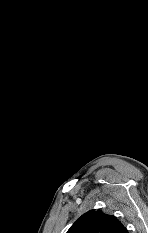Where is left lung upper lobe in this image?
I'll return each instance as SVG.
<instances>
[{
    "instance_id": "left-lung-upper-lobe-1",
    "label": "left lung upper lobe",
    "mask_w": 148,
    "mask_h": 233,
    "mask_svg": "<svg viewBox=\"0 0 148 233\" xmlns=\"http://www.w3.org/2000/svg\"><path fill=\"white\" fill-rule=\"evenodd\" d=\"M67 233H128L121 222L101 210H90L83 214Z\"/></svg>"
}]
</instances>
